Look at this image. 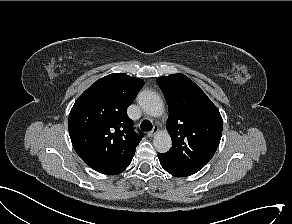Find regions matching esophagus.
Masks as SVG:
<instances>
[{
    "instance_id": "obj_1",
    "label": "esophagus",
    "mask_w": 292,
    "mask_h": 224,
    "mask_svg": "<svg viewBox=\"0 0 292 224\" xmlns=\"http://www.w3.org/2000/svg\"><path fill=\"white\" fill-rule=\"evenodd\" d=\"M158 131H159V128L157 126H154L153 130L150 131V132H148L147 135L149 137H153V136H155L158 133Z\"/></svg>"
}]
</instances>
